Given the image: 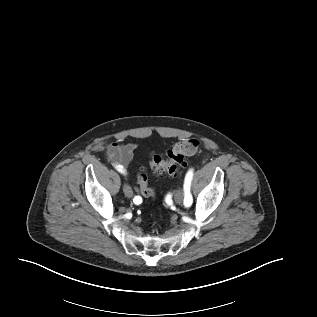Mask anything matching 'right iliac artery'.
Wrapping results in <instances>:
<instances>
[{"mask_svg":"<svg viewBox=\"0 0 317 317\" xmlns=\"http://www.w3.org/2000/svg\"><path fill=\"white\" fill-rule=\"evenodd\" d=\"M113 166H115V165H113ZM119 167H120V166H119ZM119 167H118V166H115V168L117 169V171L123 173L122 169H120ZM133 202H134L135 204L139 205V204L142 203V198H141L140 196H136V197H134Z\"/></svg>","mask_w":317,"mask_h":317,"instance_id":"1","label":"right iliac artery"}]
</instances>
